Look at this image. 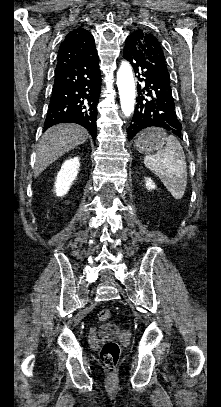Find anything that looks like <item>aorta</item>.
Listing matches in <instances>:
<instances>
[{
    "label": "aorta",
    "instance_id": "obj_1",
    "mask_svg": "<svg viewBox=\"0 0 221 407\" xmlns=\"http://www.w3.org/2000/svg\"><path fill=\"white\" fill-rule=\"evenodd\" d=\"M117 86L123 114L129 117L135 105V82L130 64L123 61L117 71Z\"/></svg>",
    "mask_w": 221,
    "mask_h": 407
}]
</instances>
